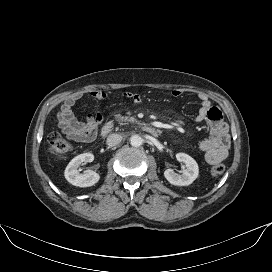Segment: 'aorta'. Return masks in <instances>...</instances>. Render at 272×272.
Here are the masks:
<instances>
[{
    "label": "aorta",
    "instance_id": "aorta-1",
    "mask_svg": "<svg viewBox=\"0 0 272 272\" xmlns=\"http://www.w3.org/2000/svg\"><path fill=\"white\" fill-rule=\"evenodd\" d=\"M143 139L139 135H133L130 138V144L133 147H139L142 145Z\"/></svg>",
    "mask_w": 272,
    "mask_h": 272
}]
</instances>
